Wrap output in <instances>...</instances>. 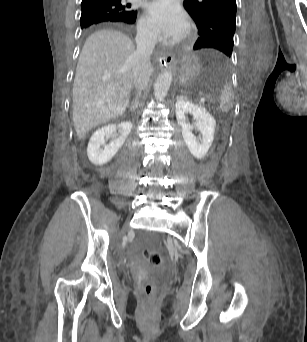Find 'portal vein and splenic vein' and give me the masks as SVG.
I'll return each instance as SVG.
<instances>
[{
  "instance_id": "1",
  "label": "portal vein and splenic vein",
  "mask_w": 307,
  "mask_h": 342,
  "mask_svg": "<svg viewBox=\"0 0 307 342\" xmlns=\"http://www.w3.org/2000/svg\"><path fill=\"white\" fill-rule=\"evenodd\" d=\"M109 76H111V74H103V76H102V78H109ZM197 95H198V101L199 102H202L203 101V95H202V92L201 91H198L197 93H196ZM202 105L204 104L203 102L201 103Z\"/></svg>"
}]
</instances>
